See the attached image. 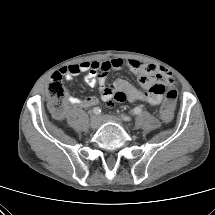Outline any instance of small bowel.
Returning <instances> with one entry per match:
<instances>
[{
    "label": "small bowel",
    "mask_w": 215,
    "mask_h": 215,
    "mask_svg": "<svg viewBox=\"0 0 215 215\" xmlns=\"http://www.w3.org/2000/svg\"><path fill=\"white\" fill-rule=\"evenodd\" d=\"M123 66L128 67L138 77L142 90L136 88L126 80L118 79L113 84L107 85L106 77L110 70H118ZM67 80H71L80 73H85V81L90 87H98L100 97L104 102H144L150 105H159L162 102V94L153 91L155 85L165 88L166 85H174V78L164 68L135 59L123 60L114 58L108 61H84L78 64L65 66L59 70ZM98 103L96 97L80 99L75 96L68 98L70 106L91 107Z\"/></svg>",
    "instance_id": "1"
}]
</instances>
